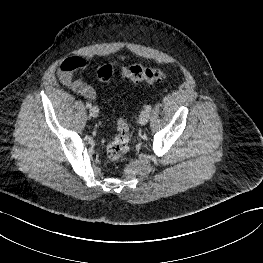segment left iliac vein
<instances>
[{"label": "left iliac vein", "mask_w": 263, "mask_h": 263, "mask_svg": "<svg viewBox=\"0 0 263 263\" xmlns=\"http://www.w3.org/2000/svg\"><path fill=\"white\" fill-rule=\"evenodd\" d=\"M149 116L150 115H149L148 111H146V110L142 111L140 116H139V123L141 125H145L149 120Z\"/></svg>", "instance_id": "4c4485c4"}]
</instances>
